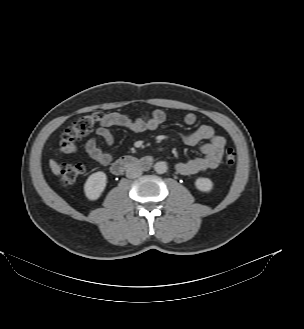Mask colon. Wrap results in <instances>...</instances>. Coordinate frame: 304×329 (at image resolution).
I'll return each instance as SVG.
<instances>
[{
  "label": "colon",
  "instance_id": "5ec220e1",
  "mask_svg": "<svg viewBox=\"0 0 304 329\" xmlns=\"http://www.w3.org/2000/svg\"><path fill=\"white\" fill-rule=\"evenodd\" d=\"M104 114L96 112L90 115L79 117L74 123L68 127L61 135L59 141V151L63 154H74L78 151L77 141L87 135L93 127L100 123ZM226 163L232 165L236 161V152L232 148H228L225 154ZM60 182L63 185H70L78 180L84 173V166L77 164H60L58 166Z\"/></svg>",
  "mask_w": 304,
  "mask_h": 329
}]
</instances>
